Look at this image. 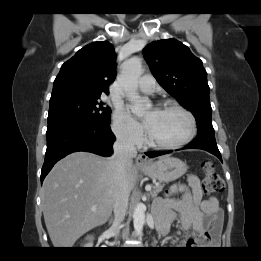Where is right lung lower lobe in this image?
Masks as SVG:
<instances>
[{
  "instance_id": "obj_1",
  "label": "right lung lower lobe",
  "mask_w": 261,
  "mask_h": 261,
  "mask_svg": "<svg viewBox=\"0 0 261 261\" xmlns=\"http://www.w3.org/2000/svg\"><path fill=\"white\" fill-rule=\"evenodd\" d=\"M47 150L41 172V182L54 164L76 151L92 152L101 156L113 153V135L110 125L89 121L70 120L48 125Z\"/></svg>"
}]
</instances>
